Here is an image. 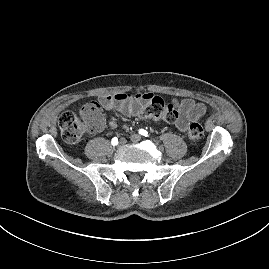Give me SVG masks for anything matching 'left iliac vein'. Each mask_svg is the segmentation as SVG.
<instances>
[{
	"mask_svg": "<svg viewBox=\"0 0 269 269\" xmlns=\"http://www.w3.org/2000/svg\"><path fill=\"white\" fill-rule=\"evenodd\" d=\"M141 140V136L139 134H132L131 135V141L134 143H137Z\"/></svg>",
	"mask_w": 269,
	"mask_h": 269,
	"instance_id": "left-iliac-vein-1",
	"label": "left iliac vein"
}]
</instances>
